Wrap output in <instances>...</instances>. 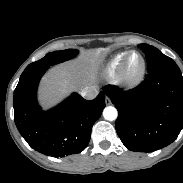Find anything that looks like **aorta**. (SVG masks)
I'll return each mask as SVG.
<instances>
[{"label":"aorta","instance_id":"obj_1","mask_svg":"<svg viewBox=\"0 0 183 183\" xmlns=\"http://www.w3.org/2000/svg\"><path fill=\"white\" fill-rule=\"evenodd\" d=\"M118 112L115 107L108 106L103 110V117L106 120L113 121L117 118Z\"/></svg>","mask_w":183,"mask_h":183}]
</instances>
